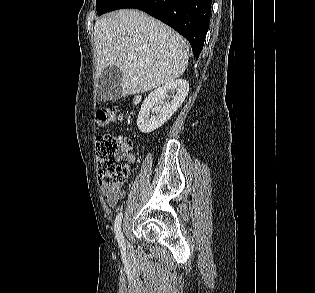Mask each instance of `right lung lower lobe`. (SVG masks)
<instances>
[{"label":"right lung lower lobe","mask_w":315,"mask_h":293,"mask_svg":"<svg viewBox=\"0 0 315 293\" xmlns=\"http://www.w3.org/2000/svg\"><path fill=\"white\" fill-rule=\"evenodd\" d=\"M212 0H114L106 9L136 8L171 26L190 43L198 58L208 31Z\"/></svg>","instance_id":"98d812e1"}]
</instances>
